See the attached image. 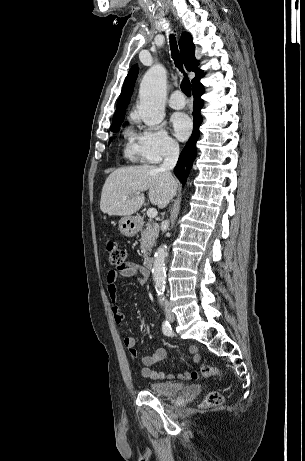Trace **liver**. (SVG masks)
Returning a JSON list of instances; mask_svg holds the SVG:
<instances>
[{"label": "liver", "mask_w": 305, "mask_h": 461, "mask_svg": "<svg viewBox=\"0 0 305 461\" xmlns=\"http://www.w3.org/2000/svg\"><path fill=\"white\" fill-rule=\"evenodd\" d=\"M177 188L176 178L154 165L118 168L104 183L100 209L110 216H131L144 204L146 190H149L150 202L163 209L175 196ZM124 196L127 199H123Z\"/></svg>", "instance_id": "liver-1"}]
</instances>
